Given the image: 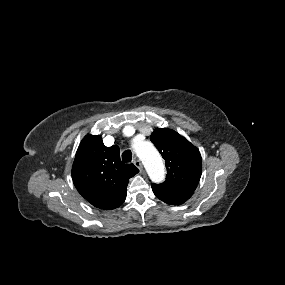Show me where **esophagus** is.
Returning <instances> with one entry per match:
<instances>
[{
	"label": "esophagus",
	"instance_id": "obj_1",
	"mask_svg": "<svg viewBox=\"0 0 285 285\" xmlns=\"http://www.w3.org/2000/svg\"><path fill=\"white\" fill-rule=\"evenodd\" d=\"M133 163L140 171L143 170V166H142V163L140 162V160H134Z\"/></svg>",
	"mask_w": 285,
	"mask_h": 285
}]
</instances>
